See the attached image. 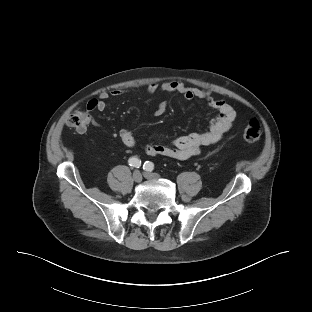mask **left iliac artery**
<instances>
[{
  "instance_id": "obj_1",
  "label": "left iliac artery",
  "mask_w": 312,
  "mask_h": 312,
  "mask_svg": "<svg viewBox=\"0 0 312 312\" xmlns=\"http://www.w3.org/2000/svg\"><path fill=\"white\" fill-rule=\"evenodd\" d=\"M143 169L151 172L154 169V164L150 161H146L143 165Z\"/></svg>"
}]
</instances>
